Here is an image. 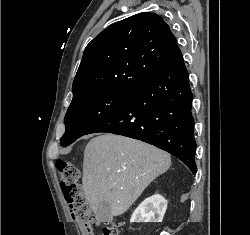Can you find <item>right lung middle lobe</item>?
<instances>
[{"label": "right lung middle lobe", "mask_w": 250, "mask_h": 235, "mask_svg": "<svg viewBox=\"0 0 250 235\" xmlns=\"http://www.w3.org/2000/svg\"><path fill=\"white\" fill-rule=\"evenodd\" d=\"M132 94L133 91L99 90L72 100L64 119L66 131L60 144L68 146L86 135L121 108Z\"/></svg>", "instance_id": "1"}]
</instances>
